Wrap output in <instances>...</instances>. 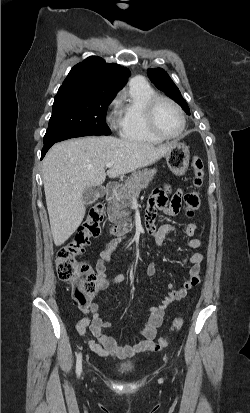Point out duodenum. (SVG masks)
I'll return each instance as SVG.
<instances>
[{
  "label": "duodenum",
  "instance_id": "410a0bca",
  "mask_svg": "<svg viewBox=\"0 0 250 413\" xmlns=\"http://www.w3.org/2000/svg\"><path fill=\"white\" fill-rule=\"evenodd\" d=\"M115 194V184L110 183L107 185L106 190H105V197L106 198H112ZM131 230V225L130 224H117L113 225L110 228V232L113 235H123Z\"/></svg>",
  "mask_w": 250,
  "mask_h": 413
}]
</instances>
